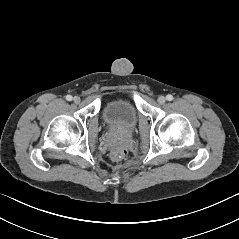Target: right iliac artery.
<instances>
[{
    "label": "right iliac artery",
    "instance_id": "right-iliac-artery-1",
    "mask_svg": "<svg viewBox=\"0 0 239 239\" xmlns=\"http://www.w3.org/2000/svg\"><path fill=\"white\" fill-rule=\"evenodd\" d=\"M66 100L71 101L72 100V96L71 95H67L66 96Z\"/></svg>",
    "mask_w": 239,
    "mask_h": 239
}]
</instances>
